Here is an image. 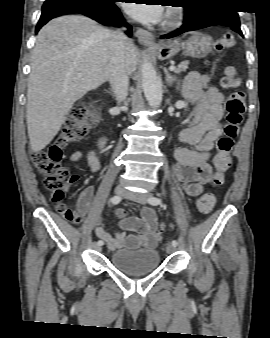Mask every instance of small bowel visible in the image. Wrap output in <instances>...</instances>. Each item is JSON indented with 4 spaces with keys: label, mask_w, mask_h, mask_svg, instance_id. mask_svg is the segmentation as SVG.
I'll list each match as a JSON object with an SVG mask.
<instances>
[{
    "label": "small bowel",
    "mask_w": 270,
    "mask_h": 338,
    "mask_svg": "<svg viewBox=\"0 0 270 338\" xmlns=\"http://www.w3.org/2000/svg\"><path fill=\"white\" fill-rule=\"evenodd\" d=\"M183 95L198 104L194 121L184 128L179 134V141L193 145L195 148H178L176 151L177 164L174 168L175 175L182 182L185 192L196 197L203 192V185L207 183L211 175L209 164V152L214 142L222 134L220 121L224 114L223 96L214 88L208 77L197 72H191L185 79ZM97 149L89 150L87 160L93 172L100 169L101 156L98 149H104L107 145L105 137H99L95 143ZM73 163H81L83 157L78 152L70 154ZM92 186L84 187L78 194V211L75 212V221L83 222L91 220L94 216ZM117 214L124 218L122 211ZM139 224L133 233L126 235L122 230H117L114 235L105 227L103 222L95 224L97 236L107 242L110 248L127 247L137 248L141 243L148 248H154L161 241V233L157 231L158 221L152 208H145L142 217L133 218ZM164 230V227H161Z\"/></svg>",
    "instance_id": "obj_1"
}]
</instances>
